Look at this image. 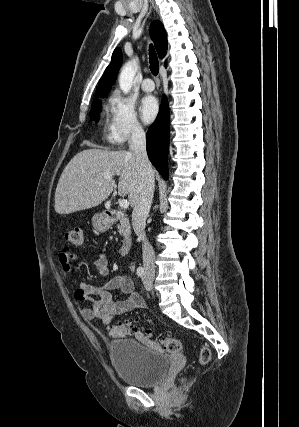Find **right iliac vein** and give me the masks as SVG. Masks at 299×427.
Returning a JSON list of instances; mask_svg holds the SVG:
<instances>
[{"label":"right iliac vein","instance_id":"63e3f726","mask_svg":"<svg viewBox=\"0 0 299 427\" xmlns=\"http://www.w3.org/2000/svg\"><path fill=\"white\" fill-rule=\"evenodd\" d=\"M147 286L149 287V289H153V281L152 280H147Z\"/></svg>","mask_w":299,"mask_h":427}]
</instances>
